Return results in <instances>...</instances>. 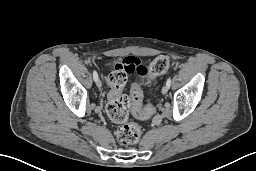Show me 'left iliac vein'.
<instances>
[{"instance_id": "1", "label": "left iliac vein", "mask_w": 256, "mask_h": 171, "mask_svg": "<svg viewBox=\"0 0 256 171\" xmlns=\"http://www.w3.org/2000/svg\"><path fill=\"white\" fill-rule=\"evenodd\" d=\"M168 90H169V87L167 86V85H165L163 88H162V94H167V92H168Z\"/></svg>"}]
</instances>
